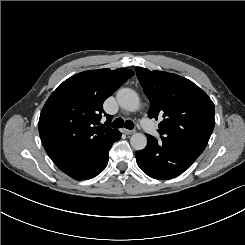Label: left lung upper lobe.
<instances>
[{
    "label": "left lung upper lobe",
    "instance_id": "5c2ea615",
    "mask_svg": "<svg viewBox=\"0 0 245 245\" xmlns=\"http://www.w3.org/2000/svg\"><path fill=\"white\" fill-rule=\"evenodd\" d=\"M144 93L150 101L148 115L163 114L161 139L179 144L200 155L215 125V108L208 95L190 80L176 74L136 67Z\"/></svg>",
    "mask_w": 245,
    "mask_h": 245
}]
</instances>
